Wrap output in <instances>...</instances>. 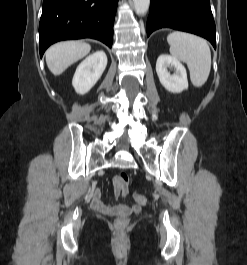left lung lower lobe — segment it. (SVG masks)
<instances>
[{
	"instance_id": "1",
	"label": "left lung lower lobe",
	"mask_w": 247,
	"mask_h": 265,
	"mask_svg": "<svg viewBox=\"0 0 247 265\" xmlns=\"http://www.w3.org/2000/svg\"><path fill=\"white\" fill-rule=\"evenodd\" d=\"M160 28L202 36L216 48V28L210 0H151L147 36Z\"/></svg>"
}]
</instances>
